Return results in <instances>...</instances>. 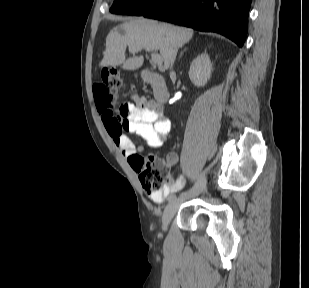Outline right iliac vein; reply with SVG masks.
<instances>
[{
	"instance_id": "right-iliac-vein-1",
	"label": "right iliac vein",
	"mask_w": 309,
	"mask_h": 288,
	"mask_svg": "<svg viewBox=\"0 0 309 288\" xmlns=\"http://www.w3.org/2000/svg\"><path fill=\"white\" fill-rule=\"evenodd\" d=\"M184 199H185L184 197H177L175 200L169 201L168 205L166 206L164 210L163 216H162L164 230L167 229L168 224L170 223L179 205L184 201Z\"/></svg>"
}]
</instances>
